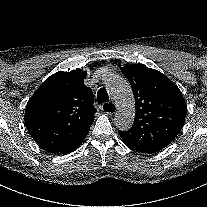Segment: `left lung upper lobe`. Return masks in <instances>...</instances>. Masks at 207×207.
Masks as SVG:
<instances>
[{
	"mask_svg": "<svg viewBox=\"0 0 207 207\" xmlns=\"http://www.w3.org/2000/svg\"><path fill=\"white\" fill-rule=\"evenodd\" d=\"M135 98V120L127 131H118L127 147L156 153L179 134L187 105L179 88L160 71L144 65L120 67Z\"/></svg>",
	"mask_w": 207,
	"mask_h": 207,
	"instance_id": "obj_1",
	"label": "left lung upper lobe"
}]
</instances>
